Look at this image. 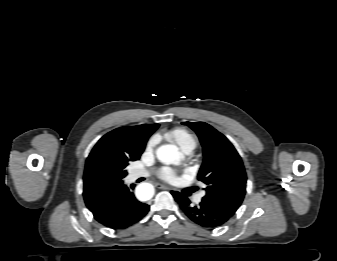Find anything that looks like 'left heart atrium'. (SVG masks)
Listing matches in <instances>:
<instances>
[{"mask_svg":"<svg viewBox=\"0 0 337 261\" xmlns=\"http://www.w3.org/2000/svg\"><path fill=\"white\" fill-rule=\"evenodd\" d=\"M159 177L167 182H173L176 178V174L172 169L165 167L159 171Z\"/></svg>","mask_w":337,"mask_h":261,"instance_id":"39dd6f15","label":"left heart atrium"}]
</instances>
